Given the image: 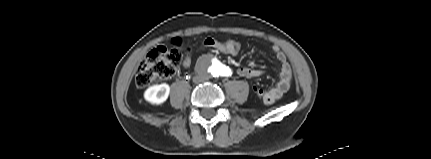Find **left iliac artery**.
Here are the masks:
<instances>
[{
  "label": "left iliac artery",
  "instance_id": "obj_1",
  "mask_svg": "<svg viewBox=\"0 0 431 159\" xmlns=\"http://www.w3.org/2000/svg\"><path fill=\"white\" fill-rule=\"evenodd\" d=\"M231 74V70L227 67V68H225V70H224V72H223V75L224 76H229Z\"/></svg>",
  "mask_w": 431,
  "mask_h": 159
}]
</instances>
